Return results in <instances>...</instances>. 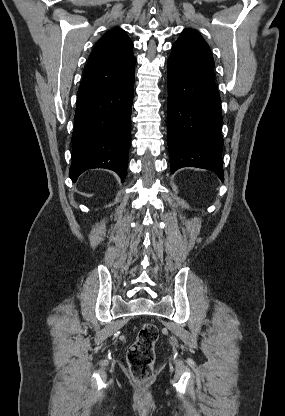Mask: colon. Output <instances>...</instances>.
<instances>
[{"mask_svg":"<svg viewBox=\"0 0 285 416\" xmlns=\"http://www.w3.org/2000/svg\"><path fill=\"white\" fill-rule=\"evenodd\" d=\"M157 340V327L152 323H144L137 333L136 340L128 349L127 362L133 379L138 383H147L153 377Z\"/></svg>","mask_w":285,"mask_h":416,"instance_id":"5ec220e1","label":"colon"}]
</instances>
